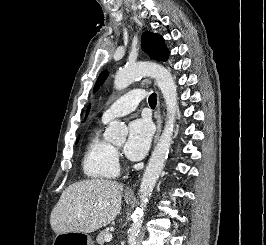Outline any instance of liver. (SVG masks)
<instances>
[{
	"label": "liver",
	"instance_id": "obj_1",
	"mask_svg": "<svg viewBox=\"0 0 266 245\" xmlns=\"http://www.w3.org/2000/svg\"><path fill=\"white\" fill-rule=\"evenodd\" d=\"M123 185L116 181H79L63 191L50 215L56 235L94 233L107 227L121 211Z\"/></svg>",
	"mask_w": 266,
	"mask_h": 245
}]
</instances>
